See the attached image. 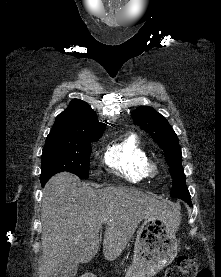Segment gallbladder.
<instances>
[{"mask_svg": "<svg viewBox=\"0 0 221 277\" xmlns=\"http://www.w3.org/2000/svg\"><path fill=\"white\" fill-rule=\"evenodd\" d=\"M77 270V264L65 261L55 267L50 277H75Z\"/></svg>", "mask_w": 221, "mask_h": 277, "instance_id": "obj_1", "label": "gallbladder"}]
</instances>
